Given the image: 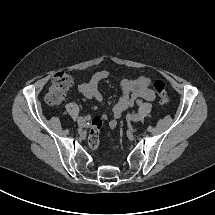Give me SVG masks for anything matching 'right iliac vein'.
I'll list each match as a JSON object with an SVG mask.
<instances>
[{"label": "right iliac vein", "mask_w": 215, "mask_h": 215, "mask_svg": "<svg viewBox=\"0 0 215 215\" xmlns=\"http://www.w3.org/2000/svg\"><path fill=\"white\" fill-rule=\"evenodd\" d=\"M77 123H78V125H80V126H84V125L86 124V119H85L84 117H79V118L77 119Z\"/></svg>", "instance_id": "right-iliac-vein-1"}]
</instances>
